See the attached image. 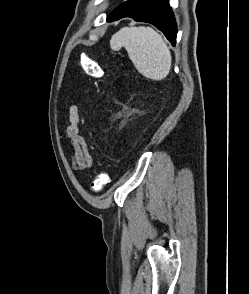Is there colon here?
I'll return each mask as SVG.
<instances>
[{"instance_id": "obj_1", "label": "colon", "mask_w": 249, "mask_h": 294, "mask_svg": "<svg viewBox=\"0 0 249 294\" xmlns=\"http://www.w3.org/2000/svg\"><path fill=\"white\" fill-rule=\"evenodd\" d=\"M78 64L79 67L90 77L101 78L103 76L101 65L86 56H81ZM109 180L110 176L107 171L98 173L91 182V191L94 193L100 192L108 184Z\"/></svg>"}]
</instances>
